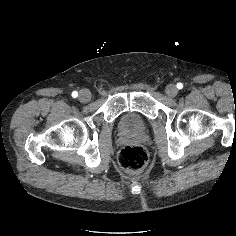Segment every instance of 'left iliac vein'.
I'll use <instances>...</instances> for the list:
<instances>
[{
  "instance_id": "1",
  "label": "left iliac vein",
  "mask_w": 236,
  "mask_h": 236,
  "mask_svg": "<svg viewBox=\"0 0 236 236\" xmlns=\"http://www.w3.org/2000/svg\"><path fill=\"white\" fill-rule=\"evenodd\" d=\"M166 94L169 96V97H176L177 94H178V89L177 87L174 85V84H170L166 87Z\"/></svg>"
}]
</instances>
